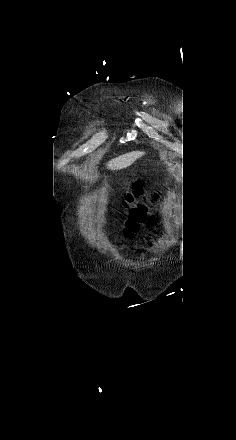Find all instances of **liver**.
I'll list each match as a JSON object with an SVG mask.
<instances>
[{"mask_svg":"<svg viewBox=\"0 0 236 440\" xmlns=\"http://www.w3.org/2000/svg\"><path fill=\"white\" fill-rule=\"evenodd\" d=\"M144 155V152L133 151L112 159L107 163L110 170H120L132 165L138 158Z\"/></svg>","mask_w":236,"mask_h":440,"instance_id":"1","label":"liver"}]
</instances>
